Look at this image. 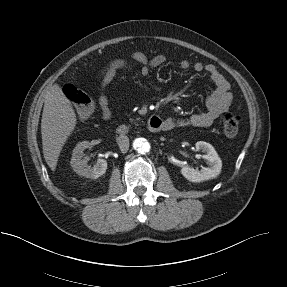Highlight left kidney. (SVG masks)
<instances>
[{
  "instance_id": "1",
  "label": "left kidney",
  "mask_w": 287,
  "mask_h": 287,
  "mask_svg": "<svg viewBox=\"0 0 287 287\" xmlns=\"http://www.w3.org/2000/svg\"><path fill=\"white\" fill-rule=\"evenodd\" d=\"M196 150L205 153L203 158L207 161L208 167H203L200 171L190 166H183L181 174L189 181L197 183L216 178L222 168V161L215 151L214 147L204 141H198L195 144Z\"/></svg>"
}]
</instances>
